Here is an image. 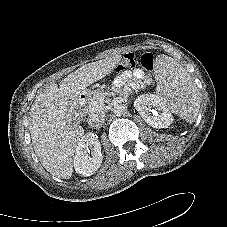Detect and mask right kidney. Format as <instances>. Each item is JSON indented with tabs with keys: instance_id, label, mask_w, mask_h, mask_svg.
Returning <instances> with one entry per match:
<instances>
[{
	"instance_id": "obj_1",
	"label": "right kidney",
	"mask_w": 227,
	"mask_h": 227,
	"mask_svg": "<svg viewBox=\"0 0 227 227\" xmlns=\"http://www.w3.org/2000/svg\"><path fill=\"white\" fill-rule=\"evenodd\" d=\"M75 154L76 173L86 177L93 175L100 168L103 160L97 135L92 132L86 133L78 143Z\"/></svg>"
}]
</instances>
